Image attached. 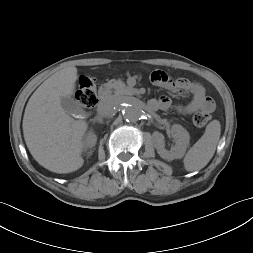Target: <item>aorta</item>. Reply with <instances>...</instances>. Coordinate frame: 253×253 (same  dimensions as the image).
<instances>
[{
  "mask_svg": "<svg viewBox=\"0 0 253 253\" xmlns=\"http://www.w3.org/2000/svg\"><path fill=\"white\" fill-rule=\"evenodd\" d=\"M142 115V107L137 102L128 103L123 107V117L130 122L138 121Z\"/></svg>",
  "mask_w": 253,
  "mask_h": 253,
  "instance_id": "obj_1",
  "label": "aorta"
}]
</instances>
